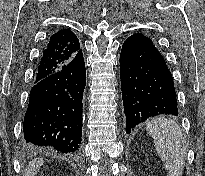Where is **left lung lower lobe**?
<instances>
[{
    "label": "left lung lower lobe",
    "mask_w": 205,
    "mask_h": 176,
    "mask_svg": "<svg viewBox=\"0 0 205 176\" xmlns=\"http://www.w3.org/2000/svg\"><path fill=\"white\" fill-rule=\"evenodd\" d=\"M120 77L127 134L152 116H178L172 75L152 40L142 33L123 43Z\"/></svg>",
    "instance_id": "1"
}]
</instances>
